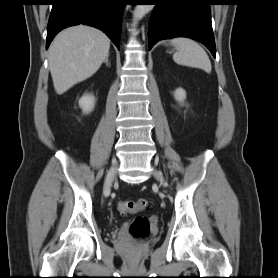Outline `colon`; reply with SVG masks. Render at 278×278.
<instances>
[{
	"instance_id": "obj_1",
	"label": "colon",
	"mask_w": 278,
	"mask_h": 278,
	"mask_svg": "<svg viewBox=\"0 0 278 278\" xmlns=\"http://www.w3.org/2000/svg\"><path fill=\"white\" fill-rule=\"evenodd\" d=\"M148 207L147 199L135 201H122L119 203V210L122 213L133 214L144 211ZM150 223L144 216L136 217L130 225V234L135 239H144L149 235Z\"/></svg>"
}]
</instances>
